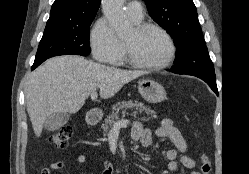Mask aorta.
I'll return each mask as SVG.
<instances>
[{"label": "aorta", "instance_id": "762f6f07", "mask_svg": "<svg viewBox=\"0 0 249 174\" xmlns=\"http://www.w3.org/2000/svg\"><path fill=\"white\" fill-rule=\"evenodd\" d=\"M125 0H102V9L110 26L118 36L127 34L131 29V23L123 9Z\"/></svg>", "mask_w": 249, "mask_h": 174}]
</instances>
